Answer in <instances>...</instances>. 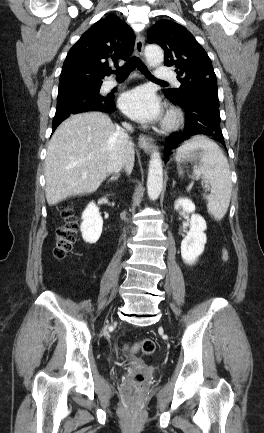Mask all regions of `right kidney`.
I'll use <instances>...</instances> for the list:
<instances>
[{"label":"right kidney","instance_id":"right-kidney-1","mask_svg":"<svg viewBox=\"0 0 264 433\" xmlns=\"http://www.w3.org/2000/svg\"><path fill=\"white\" fill-rule=\"evenodd\" d=\"M103 219L99 208L94 202H90L82 213L81 233L85 242L96 243L102 233Z\"/></svg>","mask_w":264,"mask_h":433}]
</instances>
